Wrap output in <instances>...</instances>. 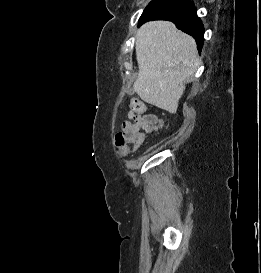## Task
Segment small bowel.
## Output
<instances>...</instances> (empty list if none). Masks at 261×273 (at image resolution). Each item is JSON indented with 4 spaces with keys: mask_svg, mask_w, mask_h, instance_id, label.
Returning <instances> with one entry per match:
<instances>
[{
    "mask_svg": "<svg viewBox=\"0 0 261 273\" xmlns=\"http://www.w3.org/2000/svg\"><path fill=\"white\" fill-rule=\"evenodd\" d=\"M127 116L130 120H134L135 122L134 123L130 121L124 122L123 129H128L132 125L134 129L138 130L143 129L146 132H153L160 129L163 125L162 119L153 114H146L143 118L135 120V117L132 111L130 110Z\"/></svg>",
    "mask_w": 261,
    "mask_h": 273,
    "instance_id": "1",
    "label": "small bowel"
}]
</instances>
